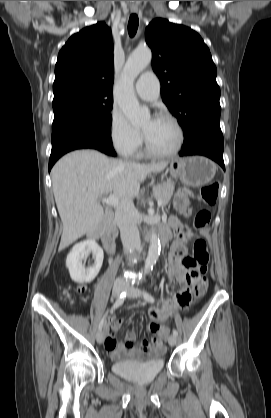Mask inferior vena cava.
Here are the masks:
<instances>
[{
  "label": "inferior vena cava",
  "instance_id": "602c4592",
  "mask_svg": "<svg viewBox=\"0 0 271 418\" xmlns=\"http://www.w3.org/2000/svg\"><path fill=\"white\" fill-rule=\"evenodd\" d=\"M115 222L120 229L124 251L127 253L130 249L139 250L140 236L132 198L125 197L120 201L115 211ZM116 282L121 283L122 280L118 279Z\"/></svg>",
  "mask_w": 271,
  "mask_h": 418
}]
</instances>
